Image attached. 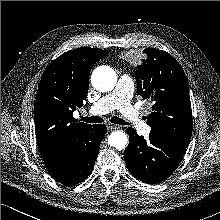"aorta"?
<instances>
[{
  "mask_svg": "<svg viewBox=\"0 0 220 220\" xmlns=\"http://www.w3.org/2000/svg\"><path fill=\"white\" fill-rule=\"evenodd\" d=\"M93 87L100 92H109L117 83V76L113 69L108 66L96 68L91 76ZM111 147L122 150L128 143V137L121 131L112 132L108 138Z\"/></svg>",
  "mask_w": 220,
  "mask_h": 220,
  "instance_id": "1",
  "label": "aorta"
}]
</instances>
